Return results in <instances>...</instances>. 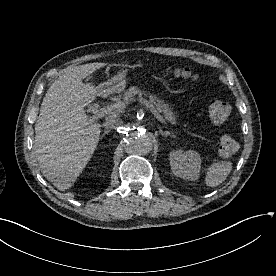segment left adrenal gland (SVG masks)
<instances>
[{
	"instance_id": "a2214340",
	"label": "left adrenal gland",
	"mask_w": 276,
	"mask_h": 276,
	"mask_svg": "<svg viewBox=\"0 0 276 276\" xmlns=\"http://www.w3.org/2000/svg\"><path fill=\"white\" fill-rule=\"evenodd\" d=\"M159 132H160V134L162 135V136H171V137H173V138H175V135L173 134V133H171V132H169V131H163V130H159Z\"/></svg>"
}]
</instances>
